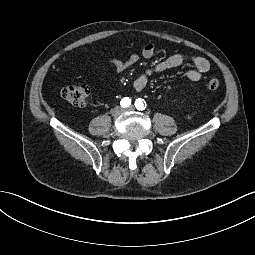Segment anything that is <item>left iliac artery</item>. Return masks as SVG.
<instances>
[{
  "mask_svg": "<svg viewBox=\"0 0 255 255\" xmlns=\"http://www.w3.org/2000/svg\"><path fill=\"white\" fill-rule=\"evenodd\" d=\"M135 107L138 109V110H144L146 108V102L141 99V98H138L136 99L135 101Z\"/></svg>",
  "mask_w": 255,
  "mask_h": 255,
  "instance_id": "1",
  "label": "left iliac artery"
}]
</instances>
